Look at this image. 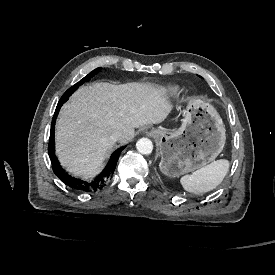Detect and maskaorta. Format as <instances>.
<instances>
[{"mask_svg":"<svg viewBox=\"0 0 275 275\" xmlns=\"http://www.w3.org/2000/svg\"><path fill=\"white\" fill-rule=\"evenodd\" d=\"M137 150L139 153L144 155H149L153 151V143L148 138H141L137 141L136 144Z\"/></svg>","mask_w":275,"mask_h":275,"instance_id":"1","label":"aorta"}]
</instances>
